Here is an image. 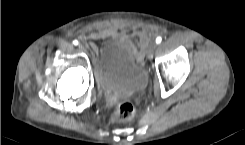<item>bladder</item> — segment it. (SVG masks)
<instances>
[{
    "instance_id": "obj_1",
    "label": "bladder",
    "mask_w": 245,
    "mask_h": 145,
    "mask_svg": "<svg viewBox=\"0 0 245 145\" xmlns=\"http://www.w3.org/2000/svg\"><path fill=\"white\" fill-rule=\"evenodd\" d=\"M94 68L104 92L132 96L146 87L144 65L130 38L108 36L97 52Z\"/></svg>"
}]
</instances>
